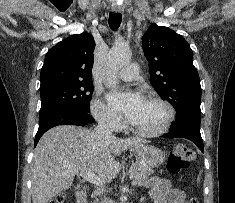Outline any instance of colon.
I'll use <instances>...</instances> for the list:
<instances>
[{"label": "colon", "mask_w": 235, "mask_h": 203, "mask_svg": "<svg viewBox=\"0 0 235 203\" xmlns=\"http://www.w3.org/2000/svg\"><path fill=\"white\" fill-rule=\"evenodd\" d=\"M195 159V152L192 148L179 144L169 153L167 159V169L172 174H179L190 166ZM65 194L61 193L54 197L49 203H65ZM185 203H198L195 198H189Z\"/></svg>", "instance_id": "colon-1"}]
</instances>
